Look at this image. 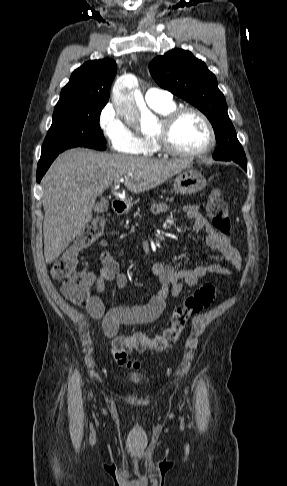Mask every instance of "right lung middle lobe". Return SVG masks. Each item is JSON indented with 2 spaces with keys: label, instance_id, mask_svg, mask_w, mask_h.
<instances>
[{
  "label": "right lung middle lobe",
  "instance_id": "obj_1",
  "mask_svg": "<svg viewBox=\"0 0 287 486\" xmlns=\"http://www.w3.org/2000/svg\"><path fill=\"white\" fill-rule=\"evenodd\" d=\"M106 103L83 102L55 106L53 122L42 145L41 158L50 157L73 147L106 149L99 125Z\"/></svg>",
  "mask_w": 287,
  "mask_h": 486
}]
</instances>
